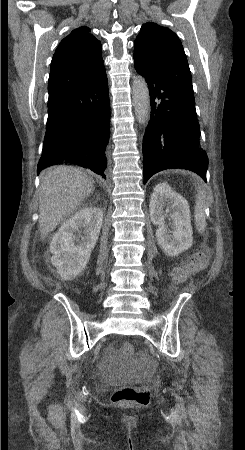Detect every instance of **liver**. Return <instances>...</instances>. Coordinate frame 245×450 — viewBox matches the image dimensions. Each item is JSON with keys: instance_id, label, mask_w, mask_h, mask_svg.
<instances>
[{"instance_id": "6515ba94", "label": "liver", "mask_w": 245, "mask_h": 450, "mask_svg": "<svg viewBox=\"0 0 245 450\" xmlns=\"http://www.w3.org/2000/svg\"><path fill=\"white\" fill-rule=\"evenodd\" d=\"M94 190L93 180L71 166L47 168L41 177L39 192V230L44 239Z\"/></svg>"}]
</instances>
